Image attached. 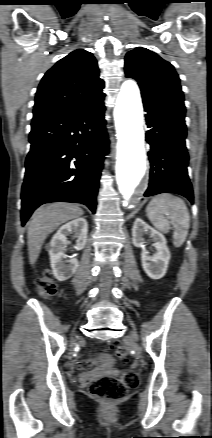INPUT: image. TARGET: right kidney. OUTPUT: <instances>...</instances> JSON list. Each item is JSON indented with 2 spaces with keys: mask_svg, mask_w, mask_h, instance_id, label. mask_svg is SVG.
<instances>
[{
  "mask_svg": "<svg viewBox=\"0 0 212 438\" xmlns=\"http://www.w3.org/2000/svg\"><path fill=\"white\" fill-rule=\"evenodd\" d=\"M88 223L84 218L72 220L59 228L49 244L50 263L53 274L59 281L69 279L76 271L79 263L73 258L64 261L67 255L64 253L68 244L67 236L73 234L76 240L74 248L81 250L87 242Z\"/></svg>",
  "mask_w": 212,
  "mask_h": 438,
  "instance_id": "1",
  "label": "right kidney"
}]
</instances>
